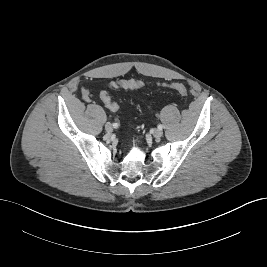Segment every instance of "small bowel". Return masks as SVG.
<instances>
[{"label":"small bowel","mask_w":267,"mask_h":267,"mask_svg":"<svg viewBox=\"0 0 267 267\" xmlns=\"http://www.w3.org/2000/svg\"><path fill=\"white\" fill-rule=\"evenodd\" d=\"M83 98L86 100V101H90L91 100V94L88 90H84L83 91Z\"/></svg>","instance_id":"small-bowel-1"}]
</instances>
